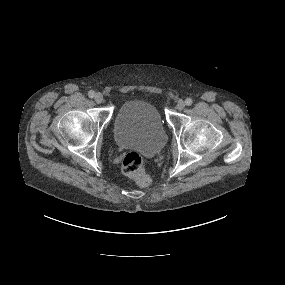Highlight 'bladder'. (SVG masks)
I'll return each instance as SVG.
<instances>
[{"instance_id":"obj_1","label":"bladder","mask_w":285,"mask_h":285,"mask_svg":"<svg viewBox=\"0 0 285 285\" xmlns=\"http://www.w3.org/2000/svg\"><path fill=\"white\" fill-rule=\"evenodd\" d=\"M114 137L118 146L136 149L149 156L158 153L167 141L158 110L142 100L125 102L119 108Z\"/></svg>"}]
</instances>
